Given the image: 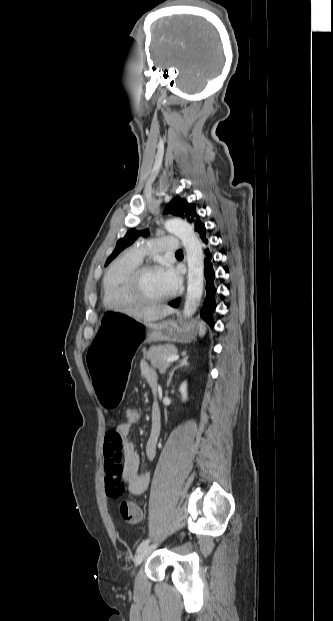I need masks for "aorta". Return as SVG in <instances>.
Returning <instances> with one entry per match:
<instances>
[{
    "label": "aorta",
    "mask_w": 333,
    "mask_h": 621,
    "mask_svg": "<svg viewBox=\"0 0 333 621\" xmlns=\"http://www.w3.org/2000/svg\"><path fill=\"white\" fill-rule=\"evenodd\" d=\"M168 232L176 235L186 250L188 265V287L184 304V316L191 317L196 312L203 294L204 256L192 226L181 219H172L166 222Z\"/></svg>",
    "instance_id": "1"
}]
</instances>
